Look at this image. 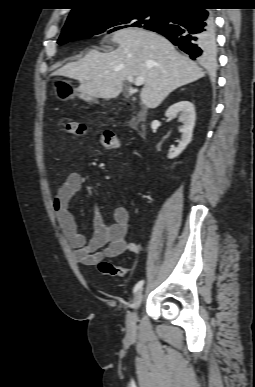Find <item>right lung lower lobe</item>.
<instances>
[{
  "instance_id": "obj_1",
  "label": "right lung lower lobe",
  "mask_w": 255,
  "mask_h": 387,
  "mask_svg": "<svg viewBox=\"0 0 255 387\" xmlns=\"http://www.w3.org/2000/svg\"><path fill=\"white\" fill-rule=\"evenodd\" d=\"M149 30L164 35L193 60L211 64L216 59L214 19L202 2L168 8L165 21Z\"/></svg>"
}]
</instances>
